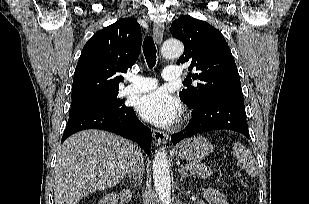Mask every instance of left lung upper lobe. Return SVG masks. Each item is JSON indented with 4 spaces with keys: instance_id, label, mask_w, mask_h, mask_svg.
<instances>
[{
    "instance_id": "1",
    "label": "left lung upper lobe",
    "mask_w": 309,
    "mask_h": 204,
    "mask_svg": "<svg viewBox=\"0 0 309 204\" xmlns=\"http://www.w3.org/2000/svg\"><path fill=\"white\" fill-rule=\"evenodd\" d=\"M170 32L185 48L177 64L189 62L190 75L199 80L196 87L179 92L190 109L218 96H243L234 58L218 29L185 15L173 21Z\"/></svg>"
}]
</instances>
